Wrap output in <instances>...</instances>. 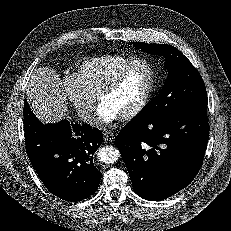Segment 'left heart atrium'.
<instances>
[{
	"instance_id": "39dd6f15",
	"label": "left heart atrium",
	"mask_w": 231,
	"mask_h": 231,
	"mask_svg": "<svg viewBox=\"0 0 231 231\" xmlns=\"http://www.w3.org/2000/svg\"><path fill=\"white\" fill-rule=\"evenodd\" d=\"M119 116L105 103H101L97 109V119L110 124L117 120Z\"/></svg>"
}]
</instances>
